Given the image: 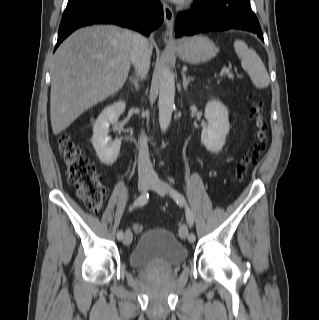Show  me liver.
<instances>
[{
    "mask_svg": "<svg viewBox=\"0 0 319 320\" xmlns=\"http://www.w3.org/2000/svg\"><path fill=\"white\" fill-rule=\"evenodd\" d=\"M133 34L113 25H93L76 30L58 47L51 67L54 135L123 87L132 63ZM149 50L151 54L152 45Z\"/></svg>",
    "mask_w": 319,
    "mask_h": 320,
    "instance_id": "liver-1",
    "label": "liver"
}]
</instances>
